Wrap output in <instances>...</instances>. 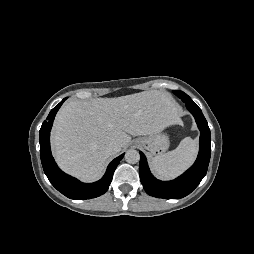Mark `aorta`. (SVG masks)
Here are the masks:
<instances>
[{"instance_id": "aorta-1", "label": "aorta", "mask_w": 254, "mask_h": 254, "mask_svg": "<svg viewBox=\"0 0 254 254\" xmlns=\"http://www.w3.org/2000/svg\"><path fill=\"white\" fill-rule=\"evenodd\" d=\"M125 160L130 164H135L140 160V154L137 150L130 149L125 153Z\"/></svg>"}]
</instances>
